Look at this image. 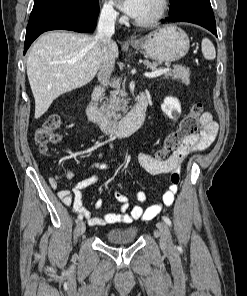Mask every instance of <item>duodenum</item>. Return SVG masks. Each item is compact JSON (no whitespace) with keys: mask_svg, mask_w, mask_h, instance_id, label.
<instances>
[{"mask_svg":"<svg viewBox=\"0 0 247 296\" xmlns=\"http://www.w3.org/2000/svg\"><path fill=\"white\" fill-rule=\"evenodd\" d=\"M103 93L104 88L97 86L91 94L90 101L86 107L90 120L97 123L103 132L118 137H127L138 131L145 119L150 93H141L130 112L119 120L112 119L99 108L97 101Z\"/></svg>","mask_w":247,"mask_h":296,"instance_id":"410a0bca","label":"duodenum"}]
</instances>
